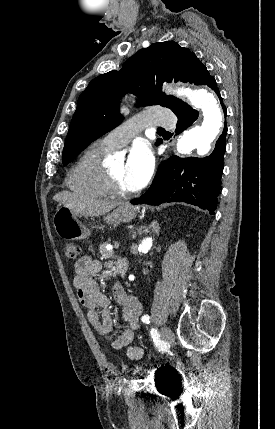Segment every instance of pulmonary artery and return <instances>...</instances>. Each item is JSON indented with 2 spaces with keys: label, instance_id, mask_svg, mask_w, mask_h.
Segmentation results:
<instances>
[{
  "label": "pulmonary artery",
  "instance_id": "1",
  "mask_svg": "<svg viewBox=\"0 0 275 429\" xmlns=\"http://www.w3.org/2000/svg\"><path fill=\"white\" fill-rule=\"evenodd\" d=\"M175 120L174 115L163 110L145 111L133 117L125 126L108 133L100 142L108 149H118L134 137L143 125L170 127Z\"/></svg>",
  "mask_w": 275,
  "mask_h": 429
}]
</instances>
